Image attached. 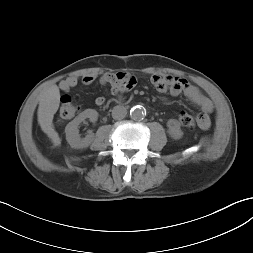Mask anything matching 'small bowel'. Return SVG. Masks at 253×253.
Here are the masks:
<instances>
[{
  "label": "small bowel",
  "instance_id": "obj_1",
  "mask_svg": "<svg viewBox=\"0 0 253 253\" xmlns=\"http://www.w3.org/2000/svg\"><path fill=\"white\" fill-rule=\"evenodd\" d=\"M96 80H99L102 85H109L114 94L125 92L131 89L136 83L135 77L126 72H119L117 74L105 73L101 76L86 74L80 77L71 76L66 78L61 81L60 89L69 91L79 83L90 85ZM151 83L159 92H168L172 96L185 95L194 105L200 108L198 114L199 127L203 130L210 127L209 114L213 111L212 102L195 86L189 84L185 79L167 75H153ZM105 102L106 99L104 97H97L95 100L97 106H103Z\"/></svg>",
  "mask_w": 253,
  "mask_h": 253
}]
</instances>
